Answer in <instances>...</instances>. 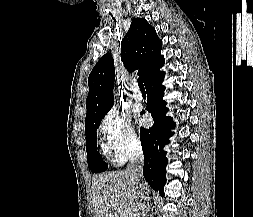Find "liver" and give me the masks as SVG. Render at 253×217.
<instances>
[{
	"mask_svg": "<svg viewBox=\"0 0 253 217\" xmlns=\"http://www.w3.org/2000/svg\"><path fill=\"white\" fill-rule=\"evenodd\" d=\"M134 181L127 170L95 175L92 178L93 217H138V196ZM146 185L148 198L149 188ZM147 198L145 200H147ZM147 206V205H146Z\"/></svg>",
	"mask_w": 253,
	"mask_h": 217,
	"instance_id": "6515ba94",
	"label": "liver"
}]
</instances>
